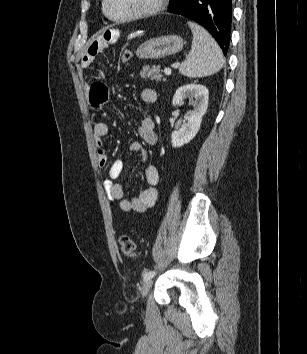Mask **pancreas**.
<instances>
[{
	"label": "pancreas",
	"mask_w": 307,
	"mask_h": 354,
	"mask_svg": "<svg viewBox=\"0 0 307 354\" xmlns=\"http://www.w3.org/2000/svg\"><path fill=\"white\" fill-rule=\"evenodd\" d=\"M161 72L162 70L160 65H152L151 67L144 66L140 72V76L143 79L159 82L162 80Z\"/></svg>",
	"instance_id": "pancreas-1"
}]
</instances>
